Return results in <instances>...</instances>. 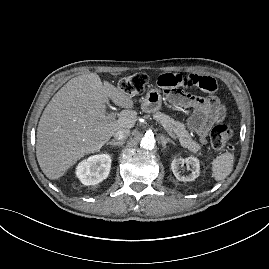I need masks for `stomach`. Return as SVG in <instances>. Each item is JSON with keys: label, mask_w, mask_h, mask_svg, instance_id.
Wrapping results in <instances>:
<instances>
[{"label": "stomach", "mask_w": 269, "mask_h": 269, "mask_svg": "<svg viewBox=\"0 0 269 269\" xmlns=\"http://www.w3.org/2000/svg\"><path fill=\"white\" fill-rule=\"evenodd\" d=\"M162 95L158 89H150L147 91L142 101V110L147 113L157 112L162 107Z\"/></svg>", "instance_id": "0dacf381"}]
</instances>
